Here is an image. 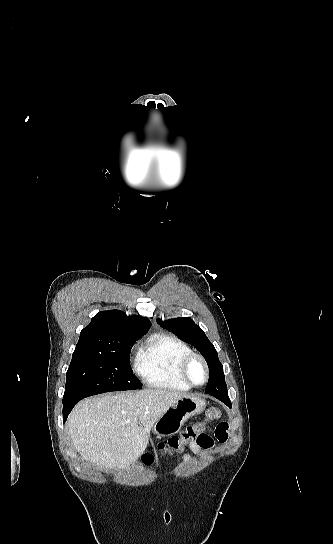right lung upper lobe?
I'll list each match as a JSON object with an SVG mask.
<instances>
[{
	"instance_id": "obj_1",
	"label": "right lung upper lobe",
	"mask_w": 333,
	"mask_h": 544,
	"mask_svg": "<svg viewBox=\"0 0 333 544\" xmlns=\"http://www.w3.org/2000/svg\"><path fill=\"white\" fill-rule=\"evenodd\" d=\"M149 327L147 318L127 316L120 310L101 311L82 329L75 350L104 351L114 340L142 337Z\"/></svg>"
}]
</instances>
